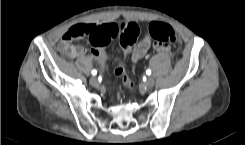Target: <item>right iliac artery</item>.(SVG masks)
I'll return each mask as SVG.
<instances>
[{
	"mask_svg": "<svg viewBox=\"0 0 245 145\" xmlns=\"http://www.w3.org/2000/svg\"><path fill=\"white\" fill-rule=\"evenodd\" d=\"M92 75H96L97 74V71L96 70H92Z\"/></svg>",
	"mask_w": 245,
	"mask_h": 145,
	"instance_id": "right-iliac-artery-1",
	"label": "right iliac artery"
}]
</instances>
